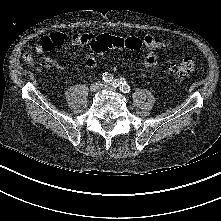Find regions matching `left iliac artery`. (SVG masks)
<instances>
[{
  "mask_svg": "<svg viewBox=\"0 0 221 221\" xmlns=\"http://www.w3.org/2000/svg\"><path fill=\"white\" fill-rule=\"evenodd\" d=\"M111 85L113 87H119V89L123 93H128L130 91V86L128 85V83L126 81L115 79V82L113 84H111Z\"/></svg>",
  "mask_w": 221,
  "mask_h": 221,
  "instance_id": "44dca946",
  "label": "left iliac artery"
}]
</instances>
